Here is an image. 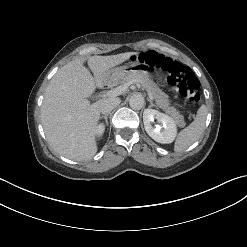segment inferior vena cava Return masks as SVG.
<instances>
[{
    "mask_svg": "<svg viewBox=\"0 0 247 247\" xmlns=\"http://www.w3.org/2000/svg\"><path fill=\"white\" fill-rule=\"evenodd\" d=\"M120 104V99L111 97L100 101L99 110L102 114L110 113L117 105Z\"/></svg>",
    "mask_w": 247,
    "mask_h": 247,
    "instance_id": "602c4592",
    "label": "inferior vena cava"
}]
</instances>
